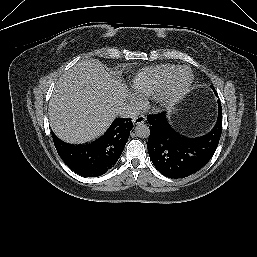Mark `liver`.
Returning <instances> with one entry per match:
<instances>
[{"instance_id": "obj_1", "label": "liver", "mask_w": 257, "mask_h": 257, "mask_svg": "<svg viewBox=\"0 0 257 257\" xmlns=\"http://www.w3.org/2000/svg\"><path fill=\"white\" fill-rule=\"evenodd\" d=\"M126 98L121 80L97 59H85L67 70L55 85L49 104L53 132L81 144L101 136Z\"/></svg>"}]
</instances>
